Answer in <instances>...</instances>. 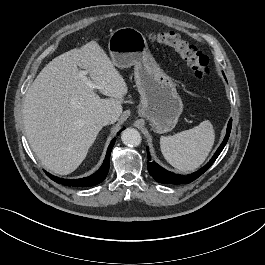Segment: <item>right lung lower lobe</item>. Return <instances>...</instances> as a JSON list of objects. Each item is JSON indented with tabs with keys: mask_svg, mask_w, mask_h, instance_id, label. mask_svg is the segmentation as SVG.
Segmentation results:
<instances>
[{
	"mask_svg": "<svg viewBox=\"0 0 265 265\" xmlns=\"http://www.w3.org/2000/svg\"><path fill=\"white\" fill-rule=\"evenodd\" d=\"M120 133V132H119ZM119 133L117 135H119ZM116 141V138H114L107 150V154L105 157V160L102 164V166L100 167V169L95 172L94 174H92L89 177H85V178H80V179H63V178H59L56 176H53L49 173L46 172V174L48 175V177H50L53 181L65 185V186H74V187H89V186H95L97 184H99L100 182H102L109 171V162H110V154H111V150L114 146V143Z\"/></svg>",
	"mask_w": 265,
	"mask_h": 265,
	"instance_id": "right-lung-lower-lobe-1",
	"label": "right lung lower lobe"
}]
</instances>
